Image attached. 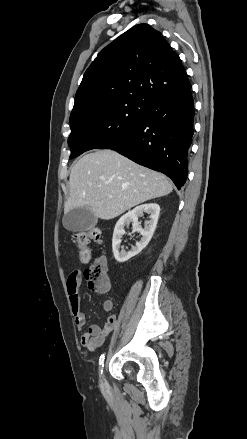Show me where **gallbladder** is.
<instances>
[{"mask_svg":"<svg viewBox=\"0 0 247 439\" xmlns=\"http://www.w3.org/2000/svg\"><path fill=\"white\" fill-rule=\"evenodd\" d=\"M97 221V217L87 207L70 210L62 220L64 228L73 232L94 228Z\"/></svg>","mask_w":247,"mask_h":439,"instance_id":"obj_1","label":"gallbladder"}]
</instances>
